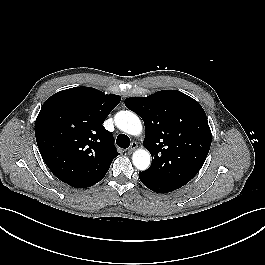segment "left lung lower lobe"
<instances>
[{"label":"left lung lower lobe","instance_id":"obj_1","mask_svg":"<svg viewBox=\"0 0 265 265\" xmlns=\"http://www.w3.org/2000/svg\"><path fill=\"white\" fill-rule=\"evenodd\" d=\"M139 178L146 187L157 193H168L178 189V187L151 177L144 172H139Z\"/></svg>","mask_w":265,"mask_h":265}]
</instances>
